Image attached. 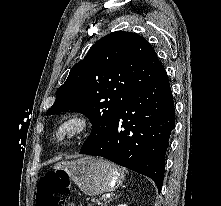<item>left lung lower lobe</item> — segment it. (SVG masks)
I'll list each match as a JSON object with an SVG mask.
<instances>
[{
  "instance_id": "left-lung-lower-lobe-1",
  "label": "left lung lower lobe",
  "mask_w": 221,
  "mask_h": 206,
  "mask_svg": "<svg viewBox=\"0 0 221 206\" xmlns=\"http://www.w3.org/2000/svg\"><path fill=\"white\" fill-rule=\"evenodd\" d=\"M174 126V102L165 72L134 95L104 135L79 153L101 156L148 176L160 192Z\"/></svg>"
}]
</instances>
